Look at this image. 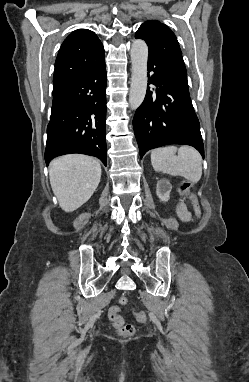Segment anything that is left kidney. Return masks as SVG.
<instances>
[{
	"label": "left kidney",
	"mask_w": 249,
	"mask_h": 382,
	"mask_svg": "<svg viewBox=\"0 0 249 382\" xmlns=\"http://www.w3.org/2000/svg\"><path fill=\"white\" fill-rule=\"evenodd\" d=\"M171 189L172 185L167 179H161L157 182L156 193L161 201L167 202L169 200Z\"/></svg>",
	"instance_id": "left-kidney-1"
}]
</instances>
